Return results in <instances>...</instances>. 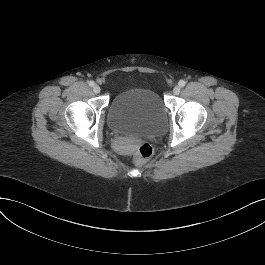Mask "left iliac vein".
I'll list each match as a JSON object with an SVG mask.
<instances>
[{"label": "left iliac vein", "instance_id": "obj_1", "mask_svg": "<svg viewBox=\"0 0 265 265\" xmlns=\"http://www.w3.org/2000/svg\"><path fill=\"white\" fill-rule=\"evenodd\" d=\"M180 90H181L180 86H175V87L173 88V93H174L175 95H178V94L180 93Z\"/></svg>", "mask_w": 265, "mask_h": 265}]
</instances>
